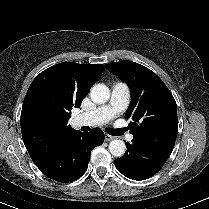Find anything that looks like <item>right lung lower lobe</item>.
I'll return each instance as SVG.
<instances>
[{"label": "right lung lower lobe", "instance_id": "1", "mask_svg": "<svg viewBox=\"0 0 209 209\" xmlns=\"http://www.w3.org/2000/svg\"><path fill=\"white\" fill-rule=\"evenodd\" d=\"M103 139V131L97 128L89 133L76 131L36 166L53 180L63 183L77 180L87 170L90 151L101 145Z\"/></svg>", "mask_w": 209, "mask_h": 209}]
</instances>
